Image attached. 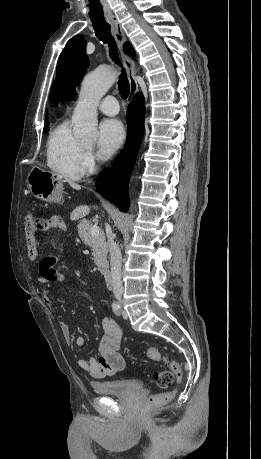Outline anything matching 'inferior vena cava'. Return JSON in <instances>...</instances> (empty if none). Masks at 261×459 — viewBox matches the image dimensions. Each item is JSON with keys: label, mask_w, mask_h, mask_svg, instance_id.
Returning a JSON list of instances; mask_svg holds the SVG:
<instances>
[{"label": "inferior vena cava", "mask_w": 261, "mask_h": 459, "mask_svg": "<svg viewBox=\"0 0 261 459\" xmlns=\"http://www.w3.org/2000/svg\"><path fill=\"white\" fill-rule=\"evenodd\" d=\"M107 227H109L107 225ZM107 244L110 252V263H111V277L113 283V293L117 300H121L123 293V285L121 281V251L118 245L114 242V238L109 232L107 234Z\"/></svg>", "instance_id": "inferior-vena-cava-1"}]
</instances>
